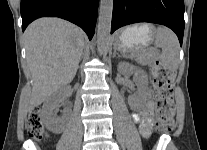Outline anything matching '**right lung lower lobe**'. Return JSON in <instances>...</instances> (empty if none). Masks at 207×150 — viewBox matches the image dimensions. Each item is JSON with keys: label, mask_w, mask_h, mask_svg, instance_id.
I'll return each mask as SVG.
<instances>
[{"label": "right lung lower lobe", "mask_w": 207, "mask_h": 150, "mask_svg": "<svg viewBox=\"0 0 207 150\" xmlns=\"http://www.w3.org/2000/svg\"><path fill=\"white\" fill-rule=\"evenodd\" d=\"M98 0H21L22 30L40 17H60L80 26L92 39Z\"/></svg>", "instance_id": "right-lung-lower-lobe-1"}]
</instances>
